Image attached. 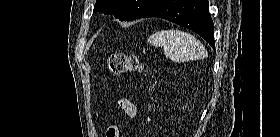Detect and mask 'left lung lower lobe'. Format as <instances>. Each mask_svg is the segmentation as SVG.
<instances>
[{"label":"left lung lower lobe","mask_w":280,"mask_h":137,"mask_svg":"<svg viewBox=\"0 0 280 137\" xmlns=\"http://www.w3.org/2000/svg\"><path fill=\"white\" fill-rule=\"evenodd\" d=\"M141 17H159L186 27L203 37L215 49L214 25L208 0H160Z\"/></svg>","instance_id":"left-lung-lower-lobe-1"}]
</instances>
